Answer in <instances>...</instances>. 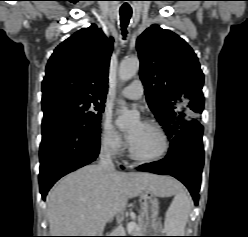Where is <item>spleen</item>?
Returning <instances> with one entry per match:
<instances>
[{
  "label": "spleen",
  "mask_w": 248,
  "mask_h": 237,
  "mask_svg": "<svg viewBox=\"0 0 248 237\" xmlns=\"http://www.w3.org/2000/svg\"><path fill=\"white\" fill-rule=\"evenodd\" d=\"M191 209V201L182 189H177L165 217L164 228L167 236H184Z\"/></svg>",
  "instance_id": "1"
}]
</instances>
